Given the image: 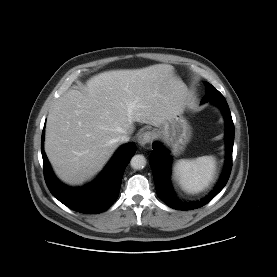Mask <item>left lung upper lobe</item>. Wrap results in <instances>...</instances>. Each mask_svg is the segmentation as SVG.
<instances>
[{
  "label": "left lung upper lobe",
  "mask_w": 277,
  "mask_h": 277,
  "mask_svg": "<svg viewBox=\"0 0 277 277\" xmlns=\"http://www.w3.org/2000/svg\"><path fill=\"white\" fill-rule=\"evenodd\" d=\"M206 95L202 98L201 103L204 102H217L219 100H225L224 96L211 84L204 82Z\"/></svg>",
  "instance_id": "5c2ea615"
}]
</instances>
